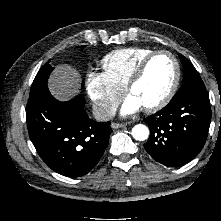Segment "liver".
<instances>
[{
	"mask_svg": "<svg viewBox=\"0 0 221 221\" xmlns=\"http://www.w3.org/2000/svg\"><path fill=\"white\" fill-rule=\"evenodd\" d=\"M79 72L69 65H58L49 78L51 94L60 101L70 100L80 87Z\"/></svg>",
	"mask_w": 221,
	"mask_h": 221,
	"instance_id": "6515ba94",
	"label": "liver"
}]
</instances>
